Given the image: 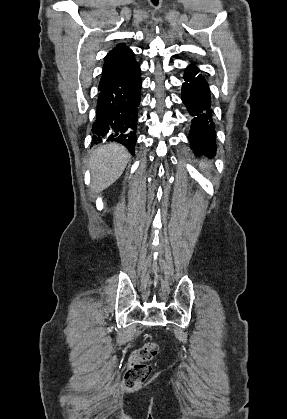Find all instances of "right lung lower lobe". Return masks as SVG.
<instances>
[{
    "label": "right lung lower lobe",
    "instance_id": "98d812e1",
    "mask_svg": "<svg viewBox=\"0 0 287 419\" xmlns=\"http://www.w3.org/2000/svg\"><path fill=\"white\" fill-rule=\"evenodd\" d=\"M139 64L128 74L98 87L93 141H114L135 152L138 106L141 95Z\"/></svg>",
    "mask_w": 287,
    "mask_h": 419
}]
</instances>
